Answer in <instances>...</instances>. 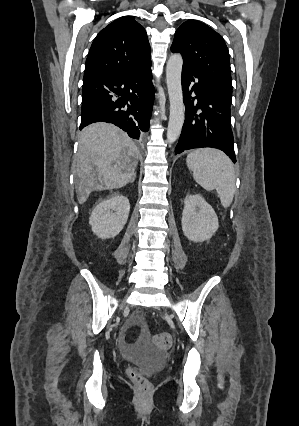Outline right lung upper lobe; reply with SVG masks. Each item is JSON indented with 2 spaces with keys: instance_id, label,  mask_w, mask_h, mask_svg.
Instances as JSON below:
<instances>
[{
  "instance_id": "obj_1",
  "label": "right lung upper lobe",
  "mask_w": 299,
  "mask_h": 426,
  "mask_svg": "<svg viewBox=\"0 0 299 426\" xmlns=\"http://www.w3.org/2000/svg\"><path fill=\"white\" fill-rule=\"evenodd\" d=\"M151 64L145 29L124 16L99 32L89 51L83 80L101 79Z\"/></svg>"
}]
</instances>
